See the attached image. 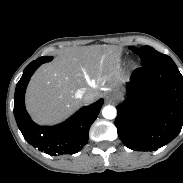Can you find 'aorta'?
I'll use <instances>...</instances> for the list:
<instances>
[{
  "label": "aorta",
  "mask_w": 183,
  "mask_h": 183,
  "mask_svg": "<svg viewBox=\"0 0 183 183\" xmlns=\"http://www.w3.org/2000/svg\"><path fill=\"white\" fill-rule=\"evenodd\" d=\"M102 115L106 119H114L117 115L116 108L111 105L105 106L102 110Z\"/></svg>",
  "instance_id": "obj_1"
}]
</instances>
